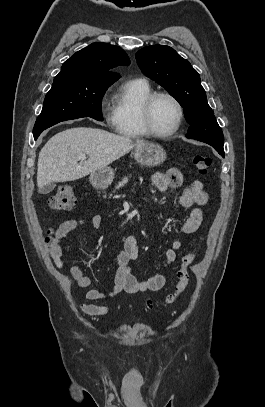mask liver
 Segmentation results:
<instances>
[{
	"label": "liver",
	"mask_w": 265,
	"mask_h": 407,
	"mask_svg": "<svg viewBox=\"0 0 265 407\" xmlns=\"http://www.w3.org/2000/svg\"><path fill=\"white\" fill-rule=\"evenodd\" d=\"M145 144L102 129L76 127L51 137L38 157L37 185L67 182L106 168L133 148ZM87 155L88 160H81ZM81 160V161H80ZM80 161V163H78Z\"/></svg>",
	"instance_id": "liver-1"
}]
</instances>
